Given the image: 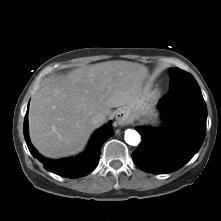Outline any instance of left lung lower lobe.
<instances>
[{
    "label": "left lung lower lobe",
    "mask_w": 221,
    "mask_h": 221,
    "mask_svg": "<svg viewBox=\"0 0 221 221\" xmlns=\"http://www.w3.org/2000/svg\"><path fill=\"white\" fill-rule=\"evenodd\" d=\"M161 116H175L177 123L164 136L154 129L136 127L142 136L132 153L134 163L143 171L165 174L184 166L200 149L205 133L207 108L194 78L177 82L159 103Z\"/></svg>",
    "instance_id": "left-lung-lower-lobe-1"
}]
</instances>
